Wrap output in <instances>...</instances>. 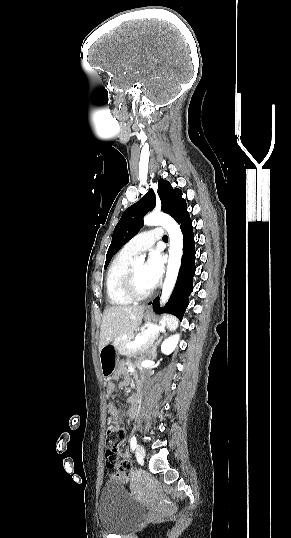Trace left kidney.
I'll return each mask as SVG.
<instances>
[{"label":"left kidney","instance_id":"5707ae66","mask_svg":"<svg viewBox=\"0 0 291 538\" xmlns=\"http://www.w3.org/2000/svg\"><path fill=\"white\" fill-rule=\"evenodd\" d=\"M179 338H180V335L179 334H175V335H172L168 338H166L162 345H161V351L162 353L166 354V355H169L170 353H172L175 348L177 347V344L179 342Z\"/></svg>","mask_w":291,"mask_h":538}]
</instances>
